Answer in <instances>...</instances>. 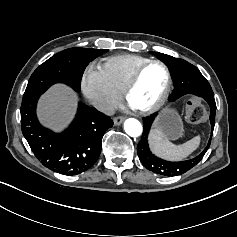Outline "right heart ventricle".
<instances>
[{"instance_id":"right-heart-ventricle-1","label":"right heart ventricle","mask_w":237,"mask_h":237,"mask_svg":"<svg viewBox=\"0 0 237 237\" xmlns=\"http://www.w3.org/2000/svg\"><path fill=\"white\" fill-rule=\"evenodd\" d=\"M147 61L148 58L140 55L120 54L107 57L102 63V69L112 85L122 93L137 69Z\"/></svg>"}]
</instances>
